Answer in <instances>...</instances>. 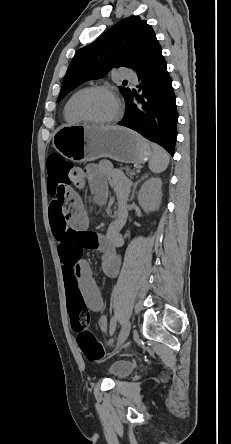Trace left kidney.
<instances>
[{
    "mask_svg": "<svg viewBox=\"0 0 231 444\" xmlns=\"http://www.w3.org/2000/svg\"><path fill=\"white\" fill-rule=\"evenodd\" d=\"M161 188L160 178H150L141 186L138 192V202L146 212L159 209L162 199Z\"/></svg>",
    "mask_w": 231,
    "mask_h": 444,
    "instance_id": "1",
    "label": "left kidney"
}]
</instances>
